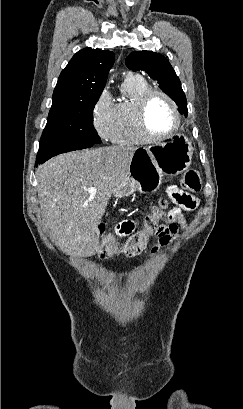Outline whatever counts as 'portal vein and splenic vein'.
<instances>
[{"label":"portal vein and splenic vein","mask_w":243,"mask_h":409,"mask_svg":"<svg viewBox=\"0 0 243 409\" xmlns=\"http://www.w3.org/2000/svg\"><path fill=\"white\" fill-rule=\"evenodd\" d=\"M87 191H88L90 197H94L96 195V189L94 187L88 188Z\"/></svg>","instance_id":"1"}]
</instances>
